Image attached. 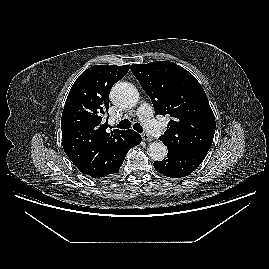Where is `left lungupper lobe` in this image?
Wrapping results in <instances>:
<instances>
[{"mask_svg":"<svg viewBox=\"0 0 269 269\" xmlns=\"http://www.w3.org/2000/svg\"><path fill=\"white\" fill-rule=\"evenodd\" d=\"M131 71L150 97L155 114L170 115L160 140L168 149L207 153L215 133V117L197 79L168 61L133 64Z\"/></svg>","mask_w":269,"mask_h":269,"instance_id":"left-lung-upper-lobe-1","label":"left lung upper lobe"}]
</instances>
